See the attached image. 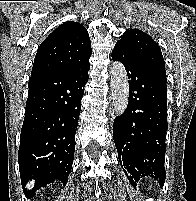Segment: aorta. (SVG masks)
I'll return each mask as SVG.
<instances>
[{"mask_svg":"<svg viewBox=\"0 0 196 201\" xmlns=\"http://www.w3.org/2000/svg\"><path fill=\"white\" fill-rule=\"evenodd\" d=\"M111 98L112 107L116 115H122L128 105L129 84L124 65L114 62L111 67Z\"/></svg>","mask_w":196,"mask_h":201,"instance_id":"1","label":"aorta"}]
</instances>
